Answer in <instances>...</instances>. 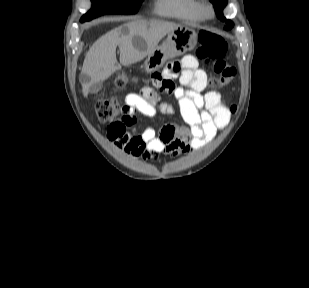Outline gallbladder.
<instances>
[{"instance_id":"gallbladder-1","label":"gallbladder","mask_w":309,"mask_h":288,"mask_svg":"<svg viewBox=\"0 0 309 288\" xmlns=\"http://www.w3.org/2000/svg\"><path fill=\"white\" fill-rule=\"evenodd\" d=\"M102 86V82L94 83L90 86L89 92L92 94H97L102 89Z\"/></svg>"}]
</instances>
